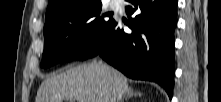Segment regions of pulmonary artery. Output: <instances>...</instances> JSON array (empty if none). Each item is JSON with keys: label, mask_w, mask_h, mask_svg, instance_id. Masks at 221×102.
Masks as SVG:
<instances>
[{"label": "pulmonary artery", "mask_w": 221, "mask_h": 102, "mask_svg": "<svg viewBox=\"0 0 221 102\" xmlns=\"http://www.w3.org/2000/svg\"><path fill=\"white\" fill-rule=\"evenodd\" d=\"M112 6H115V2H112Z\"/></svg>", "instance_id": "1"}]
</instances>
